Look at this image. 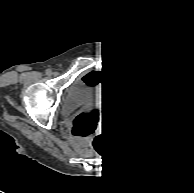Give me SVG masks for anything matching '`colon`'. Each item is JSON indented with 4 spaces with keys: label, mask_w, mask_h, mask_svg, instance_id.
Segmentation results:
<instances>
[{
    "label": "colon",
    "mask_w": 194,
    "mask_h": 193,
    "mask_svg": "<svg viewBox=\"0 0 194 193\" xmlns=\"http://www.w3.org/2000/svg\"><path fill=\"white\" fill-rule=\"evenodd\" d=\"M87 121L80 119V126L85 127ZM94 146L101 152H110L118 149L124 143L123 134L119 131L108 130L94 139Z\"/></svg>",
    "instance_id": "colon-1"
}]
</instances>
